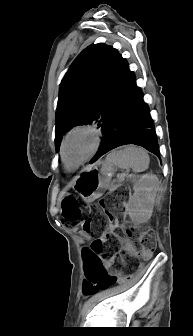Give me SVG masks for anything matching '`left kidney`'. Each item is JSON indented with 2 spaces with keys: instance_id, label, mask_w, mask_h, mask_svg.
<instances>
[{
  "instance_id": "obj_1",
  "label": "left kidney",
  "mask_w": 193,
  "mask_h": 336,
  "mask_svg": "<svg viewBox=\"0 0 193 336\" xmlns=\"http://www.w3.org/2000/svg\"><path fill=\"white\" fill-rule=\"evenodd\" d=\"M134 195L129 200V217L136 224L148 222L151 218L159 180L152 173L142 175L133 186Z\"/></svg>"
}]
</instances>
